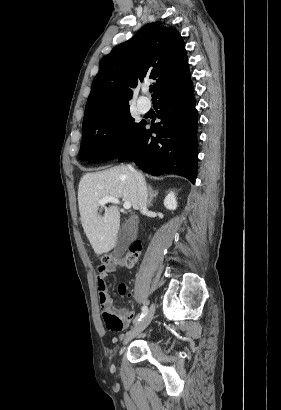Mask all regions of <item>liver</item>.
Wrapping results in <instances>:
<instances>
[{
  "mask_svg": "<svg viewBox=\"0 0 281 410\" xmlns=\"http://www.w3.org/2000/svg\"><path fill=\"white\" fill-rule=\"evenodd\" d=\"M106 196L121 198L124 202H130L133 209H139L137 185L127 166L86 173L80 180L78 205L81 223L97 254L107 253L115 247L120 228L119 208L114 205L101 206L98 203ZM100 206L105 210L103 216L98 212Z\"/></svg>",
  "mask_w": 281,
  "mask_h": 410,
  "instance_id": "1",
  "label": "liver"
}]
</instances>
